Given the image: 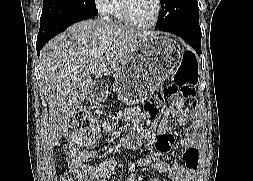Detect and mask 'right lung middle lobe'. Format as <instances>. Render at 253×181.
Returning <instances> with one entry per match:
<instances>
[{"label": "right lung middle lobe", "instance_id": "1", "mask_svg": "<svg viewBox=\"0 0 253 181\" xmlns=\"http://www.w3.org/2000/svg\"><path fill=\"white\" fill-rule=\"evenodd\" d=\"M75 12L97 15L95 0H43L40 23L50 22Z\"/></svg>", "mask_w": 253, "mask_h": 181}]
</instances>
